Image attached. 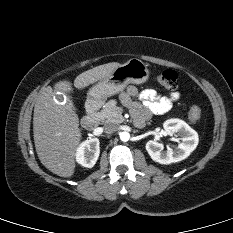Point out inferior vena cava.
Listing matches in <instances>:
<instances>
[{"label":"inferior vena cava","instance_id":"1","mask_svg":"<svg viewBox=\"0 0 233 233\" xmlns=\"http://www.w3.org/2000/svg\"><path fill=\"white\" fill-rule=\"evenodd\" d=\"M117 129H118V125L114 123H106L104 125V130L106 133H114L115 131H117Z\"/></svg>","mask_w":233,"mask_h":233}]
</instances>
